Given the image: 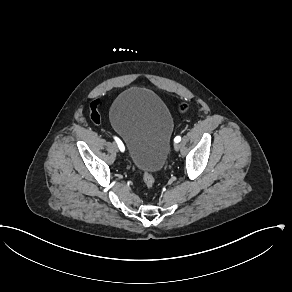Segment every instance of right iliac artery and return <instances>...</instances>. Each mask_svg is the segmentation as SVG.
<instances>
[{
  "instance_id": "obj_1",
  "label": "right iliac artery",
  "mask_w": 292,
  "mask_h": 292,
  "mask_svg": "<svg viewBox=\"0 0 292 292\" xmlns=\"http://www.w3.org/2000/svg\"><path fill=\"white\" fill-rule=\"evenodd\" d=\"M114 139H115L116 143L118 144L120 151L124 152L125 147H124V144L122 143V141L117 137H114Z\"/></svg>"
}]
</instances>
